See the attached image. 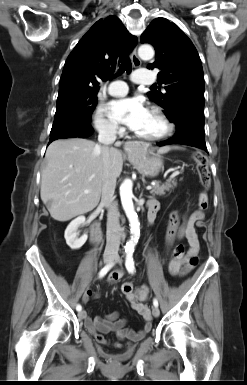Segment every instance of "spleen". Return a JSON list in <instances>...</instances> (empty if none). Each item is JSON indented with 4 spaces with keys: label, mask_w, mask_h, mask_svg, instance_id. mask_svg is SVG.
I'll return each instance as SVG.
<instances>
[{
    "label": "spleen",
    "mask_w": 247,
    "mask_h": 385,
    "mask_svg": "<svg viewBox=\"0 0 247 385\" xmlns=\"http://www.w3.org/2000/svg\"><path fill=\"white\" fill-rule=\"evenodd\" d=\"M172 149H181V147H179V146H163V147L159 148L158 153L164 154V153L169 152Z\"/></svg>",
    "instance_id": "3e777b00"
}]
</instances>
